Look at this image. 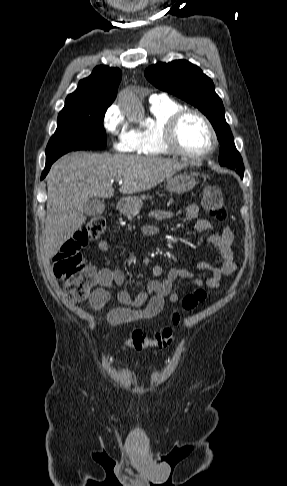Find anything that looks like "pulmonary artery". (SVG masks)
Listing matches in <instances>:
<instances>
[{"label":"pulmonary artery","instance_id":"obj_1","mask_svg":"<svg viewBox=\"0 0 287 486\" xmlns=\"http://www.w3.org/2000/svg\"><path fill=\"white\" fill-rule=\"evenodd\" d=\"M163 98H167L165 94H153L150 97V101H155V100L163 99Z\"/></svg>","mask_w":287,"mask_h":486}]
</instances>
